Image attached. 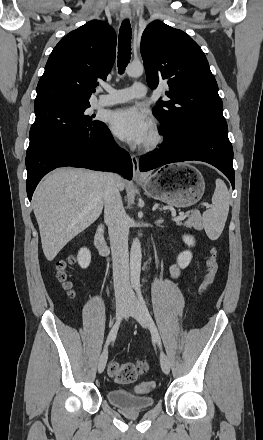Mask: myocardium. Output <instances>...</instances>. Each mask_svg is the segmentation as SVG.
Listing matches in <instances>:
<instances>
[{"instance_id":"1","label":"myocardium","mask_w":263,"mask_h":440,"mask_svg":"<svg viewBox=\"0 0 263 440\" xmlns=\"http://www.w3.org/2000/svg\"><path fill=\"white\" fill-rule=\"evenodd\" d=\"M163 141L164 136L162 131L156 124H154L152 125L149 139L142 143L141 148L144 151H153L157 149Z\"/></svg>"}]
</instances>
